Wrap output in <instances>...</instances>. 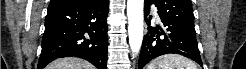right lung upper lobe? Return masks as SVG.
Returning a JSON list of instances; mask_svg holds the SVG:
<instances>
[{
    "label": "right lung upper lobe",
    "mask_w": 246,
    "mask_h": 69,
    "mask_svg": "<svg viewBox=\"0 0 246 69\" xmlns=\"http://www.w3.org/2000/svg\"><path fill=\"white\" fill-rule=\"evenodd\" d=\"M102 0H51L49 6L94 4Z\"/></svg>",
    "instance_id": "1"
}]
</instances>
